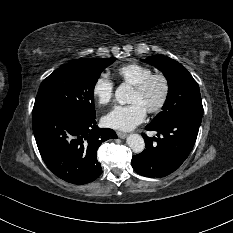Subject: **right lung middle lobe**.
I'll return each instance as SVG.
<instances>
[{"label": "right lung middle lobe", "instance_id": "obj_1", "mask_svg": "<svg viewBox=\"0 0 233 233\" xmlns=\"http://www.w3.org/2000/svg\"><path fill=\"white\" fill-rule=\"evenodd\" d=\"M116 58L77 59L55 70L40 85L34 111H65L96 116L94 87L101 72Z\"/></svg>", "mask_w": 233, "mask_h": 233}]
</instances>
